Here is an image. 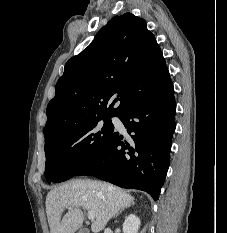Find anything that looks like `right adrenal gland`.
Returning a JSON list of instances; mask_svg holds the SVG:
<instances>
[{"label":"right adrenal gland","instance_id":"right-adrenal-gland-1","mask_svg":"<svg viewBox=\"0 0 227 233\" xmlns=\"http://www.w3.org/2000/svg\"><path fill=\"white\" fill-rule=\"evenodd\" d=\"M123 211H124V209L120 210L119 212H117V214H116L114 217L118 216V215L121 214Z\"/></svg>","mask_w":227,"mask_h":233}]
</instances>
